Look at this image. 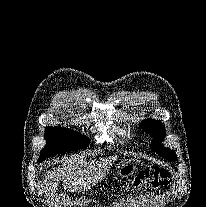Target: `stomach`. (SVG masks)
<instances>
[{"label": "stomach", "instance_id": "stomach-1", "mask_svg": "<svg viewBox=\"0 0 206 207\" xmlns=\"http://www.w3.org/2000/svg\"><path fill=\"white\" fill-rule=\"evenodd\" d=\"M137 170V165L135 162L129 161L120 164L115 173L113 174V178L116 180H121L123 178H128Z\"/></svg>", "mask_w": 206, "mask_h": 207}]
</instances>
